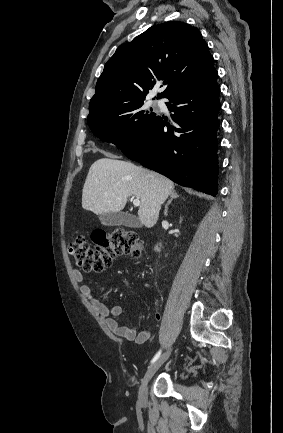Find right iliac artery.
<instances>
[{
	"label": "right iliac artery",
	"instance_id": "obj_1",
	"mask_svg": "<svg viewBox=\"0 0 283 433\" xmlns=\"http://www.w3.org/2000/svg\"><path fill=\"white\" fill-rule=\"evenodd\" d=\"M160 355H161V350H159V351L156 353V355L153 357L151 363L155 362V361L160 357Z\"/></svg>",
	"mask_w": 283,
	"mask_h": 433
}]
</instances>
